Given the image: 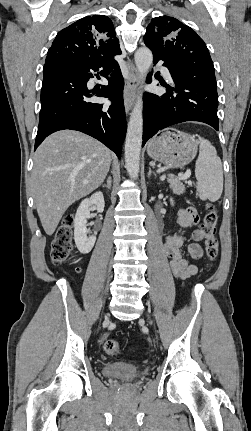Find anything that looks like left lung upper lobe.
<instances>
[{
  "instance_id": "1",
  "label": "left lung upper lobe",
  "mask_w": 251,
  "mask_h": 431,
  "mask_svg": "<svg viewBox=\"0 0 251 431\" xmlns=\"http://www.w3.org/2000/svg\"><path fill=\"white\" fill-rule=\"evenodd\" d=\"M144 42L153 54L172 58L183 68L214 72L204 41L190 27L173 17L153 18L146 29Z\"/></svg>"
}]
</instances>
